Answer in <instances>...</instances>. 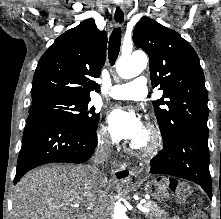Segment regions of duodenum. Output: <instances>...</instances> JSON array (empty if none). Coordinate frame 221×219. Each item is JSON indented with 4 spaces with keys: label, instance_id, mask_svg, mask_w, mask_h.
Here are the masks:
<instances>
[{
    "label": "duodenum",
    "instance_id": "410a0bca",
    "mask_svg": "<svg viewBox=\"0 0 221 219\" xmlns=\"http://www.w3.org/2000/svg\"><path fill=\"white\" fill-rule=\"evenodd\" d=\"M68 219H84V217L81 214H74L71 217H69Z\"/></svg>",
    "mask_w": 221,
    "mask_h": 219
}]
</instances>
